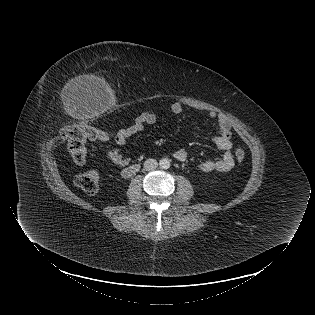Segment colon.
<instances>
[{"instance_id": "colon-1", "label": "colon", "mask_w": 315, "mask_h": 315, "mask_svg": "<svg viewBox=\"0 0 315 315\" xmlns=\"http://www.w3.org/2000/svg\"><path fill=\"white\" fill-rule=\"evenodd\" d=\"M68 141V152L73 161L82 165L87 157V142L98 140L106 141L109 136L104 131H101L92 126H76L66 132ZM235 158L238 162H242L245 158L243 149L238 148L235 151ZM77 185L87 194L93 195L97 193L99 188V172L96 168H91L79 173L76 176Z\"/></svg>"}]
</instances>
